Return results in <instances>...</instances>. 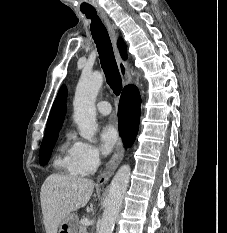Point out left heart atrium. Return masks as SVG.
Wrapping results in <instances>:
<instances>
[{
    "mask_svg": "<svg viewBox=\"0 0 227 233\" xmlns=\"http://www.w3.org/2000/svg\"><path fill=\"white\" fill-rule=\"evenodd\" d=\"M102 149L109 154L119 142V132L113 123L106 124L100 133Z\"/></svg>",
    "mask_w": 227,
    "mask_h": 233,
    "instance_id": "1",
    "label": "left heart atrium"
}]
</instances>
